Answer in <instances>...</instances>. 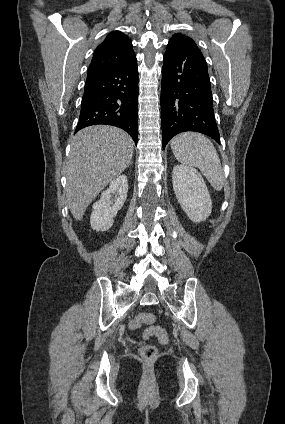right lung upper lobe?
Instances as JSON below:
<instances>
[{"label":"right lung upper lobe","instance_id":"right-lung-upper-lobe-1","mask_svg":"<svg viewBox=\"0 0 285 424\" xmlns=\"http://www.w3.org/2000/svg\"><path fill=\"white\" fill-rule=\"evenodd\" d=\"M135 59L130 39L120 31H112L96 48L87 76L113 70Z\"/></svg>","mask_w":285,"mask_h":424}]
</instances>
